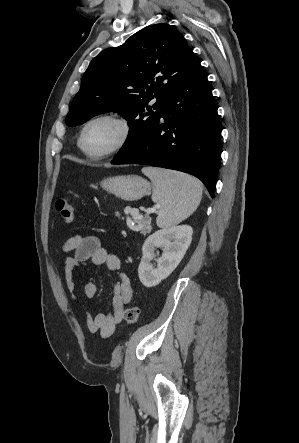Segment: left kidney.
I'll return each instance as SVG.
<instances>
[{
    "label": "left kidney",
    "instance_id": "5707ae66",
    "mask_svg": "<svg viewBox=\"0 0 299 443\" xmlns=\"http://www.w3.org/2000/svg\"><path fill=\"white\" fill-rule=\"evenodd\" d=\"M192 227L173 226L154 232L144 242L143 256L138 267L139 279L145 287L158 285L179 265L192 241ZM157 247H163L162 256L157 260L158 267L150 264Z\"/></svg>",
    "mask_w": 299,
    "mask_h": 443
}]
</instances>
